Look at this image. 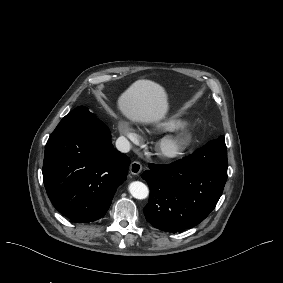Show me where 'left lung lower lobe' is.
I'll return each instance as SVG.
<instances>
[{
	"label": "left lung lower lobe",
	"instance_id": "obj_1",
	"mask_svg": "<svg viewBox=\"0 0 283 283\" xmlns=\"http://www.w3.org/2000/svg\"><path fill=\"white\" fill-rule=\"evenodd\" d=\"M224 140H212L168 165L149 164L142 174L150 187L143 212L155 228L177 232L191 228L215 208L227 180Z\"/></svg>",
	"mask_w": 283,
	"mask_h": 283
}]
</instances>
